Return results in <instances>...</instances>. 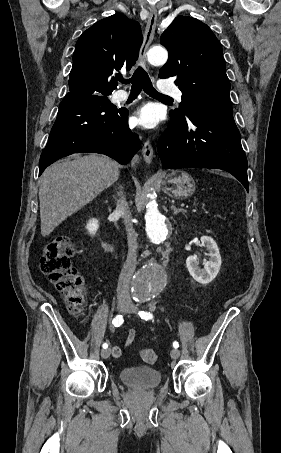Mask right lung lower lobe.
I'll list each match as a JSON object with an SVG mask.
<instances>
[{"label":"right lung lower lobe","mask_w":281,"mask_h":453,"mask_svg":"<svg viewBox=\"0 0 281 453\" xmlns=\"http://www.w3.org/2000/svg\"><path fill=\"white\" fill-rule=\"evenodd\" d=\"M127 115L105 96L65 97L41 154L39 175L56 160L79 152L105 154L127 164L140 148Z\"/></svg>","instance_id":"obj_1"}]
</instances>
